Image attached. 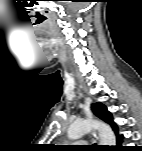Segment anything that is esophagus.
Returning a JSON list of instances; mask_svg holds the SVG:
<instances>
[{"label":"esophagus","mask_w":142,"mask_h":151,"mask_svg":"<svg viewBox=\"0 0 142 151\" xmlns=\"http://www.w3.org/2000/svg\"><path fill=\"white\" fill-rule=\"evenodd\" d=\"M93 136H94V138L98 139V136H97L96 132H93Z\"/></svg>","instance_id":"34e87169"}]
</instances>
